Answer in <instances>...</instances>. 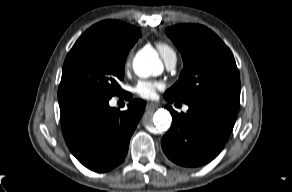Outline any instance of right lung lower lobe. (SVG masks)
Listing matches in <instances>:
<instances>
[{
	"instance_id": "1",
	"label": "right lung lower lobe",
	"mask_w": 292,
	"mask_h": 192,
	"mask_svg": "<svg viewBox=\"0 0 292 192\" xmlns=\"http://www.w3.org/2000/svg\"><path fill=\"white\" fill-rule=\"evenodd\" d=\"M126 98L128 110L120 112L109 106V99L91 93L58 94L65 141L72 154L90 170L106 172L124 160L145 108L144 101Z\"/></svg>"
}]
</instances>
